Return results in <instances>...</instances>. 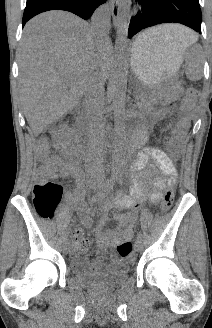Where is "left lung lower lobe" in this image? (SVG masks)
Masks as SVG:
<instances>
[{
  "instance_id": "0a47b994",
  "label": "left lung lower lobe",
  "mask_w": 212,
  "mask_h": 328,
  "mask_svg": "<svg viewBox=\"0 0 212 328\" xmlns=\"http://www.w3.org/2000/svg\"><path fill=\"white\" fill-rule=\"evenodd\" d=\"M141 13L130 21L128 37L161 23H181L201 34L199 0H138Z\"/></svg>"
}]
</instances>
